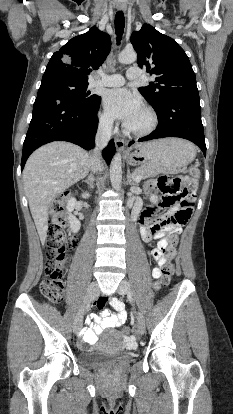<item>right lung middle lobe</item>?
Returning a JSON list of instances; mask_svg holds the SVG:
<instances>
[{
	"label": "right lung middle lobe",
	"instance_id": "obj_1",
	"mask_svg": "<svg viewBox=\"0 0 233 414\" xmlns=\"http://www.w3.org/2000/svg\"><path fill=\"white\" fill-rule=\"evenodd\" d=\"M88 82L62 76H43L37 96H54L75 104L88 105L101 97L87 91Z\"/></svg>",
	"mask_w": 233,
	"mask_h": 414
}]
</instances>
